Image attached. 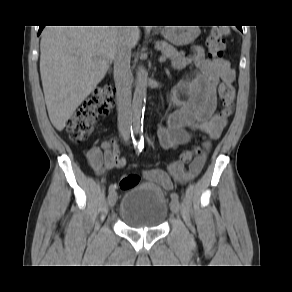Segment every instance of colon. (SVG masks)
Returning a JSON list of instances; mask_svg holds the SVG:
<instances>
[{"mask_svg": "<svg viewBox=\"0 0 292 292\" xmlns=\"http://www.w3.org/2000/svg\"><path fill=\"white\" fill-rule=\"evenodd\" d=\"M228 34L226 25L215 26L206 40L210 58H222L225 50V36ZM222 102L221 116L227 118L232 115L235 106V89L231 83L222 82L218 88ZM113 107V87L104 84L97 87L84 101L78 111L67 121L66 130L74 143L84 142L93 132L98 120L106 116ZM201 154L199 147L183 151L179 163L192 162ZM140 178L136 174L124 175L119 187L127 190L139 184Z\"/></svg>", "mask_w": 292, "mask_h": 292, "instance_id": "obj_1", "label": "colon"}]
</instances>
